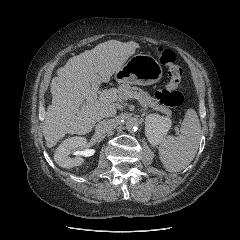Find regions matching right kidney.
I'll return each mask as SVG.
<instances>
[{"instance_id": "1", "label": "right kidney", "mask_w": 240, "mask_h": 240, "mask_svg": "<svg viewBox=\"0 0 240 240\" xmlns=\"http://www.w3.org/2000/svg\"><path fill=\"white\" fill-rule=\"evenodd\" d=\"M87 139L84 137H70L64 140L56 149L54 153L55 162L63 168L77 167L83 164L82 156H88ZM77 149H84V151H77ZM73 153L76 157L71 158L69 155Z\"/></svg>"}]
</instances>
